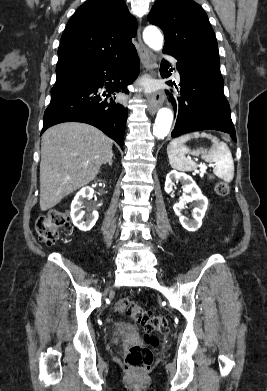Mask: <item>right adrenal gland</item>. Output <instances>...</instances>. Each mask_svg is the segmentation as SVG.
I'll list each match as a JSON object with an SVG mask.
<instances>
[{"label": "right adrenal gland", "mask_w": 267, "mask_h": 391, "mask_svg": "<svg viewBox=\"0 0 267 391\" xmlns=\"http://www.w3.org/2000/svg\"><path fill=\"white\" fill-rule=\"evenodd\" d=\"M107 163L109 164V166H112V158H110L108 162H105L104 165H106Z\"/></svg>", "instance_id": "obj_1"}]
</instances>
